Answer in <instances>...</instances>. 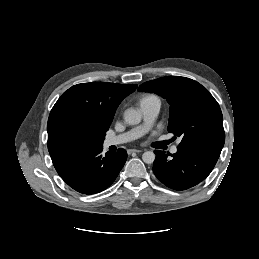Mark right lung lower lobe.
<instances>
[{"label": "right lung lower lobe", "instance_id": "1", "mask_svg": "<svg viewBox=\"0 0 259 259\" xmlns=\"http://www.w3.org/2000/svg\"><path fill=\"white\" fill-rule=\"evenodd\" d=\"M102 146L79 147L50 153L60 177L74 190L95 194L108 188L124 166V149L102 155Z\"/></svg>", "mask_w": 259, "mask_h": 259}]
</instances>
